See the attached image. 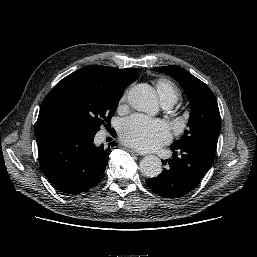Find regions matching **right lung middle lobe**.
<instances>
[{
  "label": "right lung middle lobe",
  "mask_w": 257,
  "mask_h": 257,
  "mask_svg": "<svg viewBox=\"0 0 257 257\" xmlns=\"http://www.w3.org/2000/svg\"><path fill=\"white\" fill-rule=\"evenodd\" d=\"M139 69H126V81L120 86L101 83L91 76L68 78L52 99V114L61 128L97 133L117 109L125 86L131 84Z\"/></svg>",
  "instance_id": "right-lung-middle-lobe-1"
}]
</instances>
